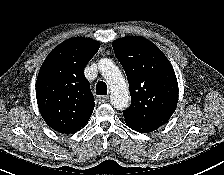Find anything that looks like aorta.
Here are the masks:
<instances>
[{
	"label": "aorta",
	"instance_id": "obj_1",
	"mask_svg": "<svg viewBox=\"0 0 224 175\" xmlns=\"http://www.w3.org/2000/svg\"><path fill=\"white\" fill-rule=\"evenodd\" d=\"M98 67L110 87L112 105L118 110L126 109L129 105L130 95L121 70L107 58L101 59Z\"/></svg>",
	"mask_w": 224,
	"mask_h": 175
}]
</instances>
